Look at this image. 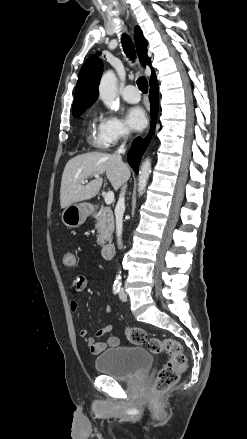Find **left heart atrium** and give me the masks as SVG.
Here are the masks:
<instances>
[{
  "label": "left heart atrium",
  "instance_id": "39dd6f15",
  "mask_svg": "<svg viewBox=\"0 0 247 439\" xmlns=\"http://www.w3.org/2000/svg\"><path fill=\"white\" fill-rule=\"evenodd\" d=\"M126 121L131 129L138 131L146 126L147 118L142 108L132 107L126 113Z\"/></svg>",
  "mask_w": 247,
  "mask_h": 439
}]
</instances>
